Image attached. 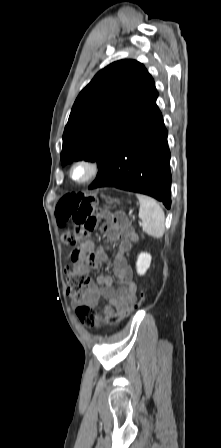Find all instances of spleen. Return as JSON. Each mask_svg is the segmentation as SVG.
Returning a JSON list of instances; mask_svg holds the SVG:
<instances>
[{
	"label": "spleen",
	"mask_w": 221,
	"mask_h": 448,
	"mask_svg": "<svg viewBox=\"0 0 221 448\" xmlns=\"http://www.w3.org/2000/svg\"><path fill=\"white\" fill-rule=\"evenodd\" d=\"M139 200V218L143 222L142 230L147 235L159 239L165 232V215L160 205L151 197L136 194Z\"/></svg>",
	"instance_id": "3e777b00"
}]
</instances>
